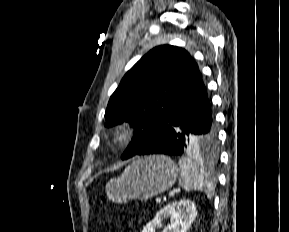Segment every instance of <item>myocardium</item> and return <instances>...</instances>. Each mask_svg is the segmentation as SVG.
I'll return each mask as SVG.
<instances>
[{
  "mask_svg": "<svg viewBox=\"0 0 289 232\" xmlns=\"http://www.w3.org/2000/svg\"><path fill=\"white\" fill-rule=\"evenodd\" d=\"M135 134V127L128 122L120 123L114 130V136L116 140L123 144L132 141L135 137Z\"/></svg>",
  "mask_w": 289,
  "mask_h": 232,
  "instance_id": "myocardium-1",
  "label": "myocardium"
}]
</instances>
